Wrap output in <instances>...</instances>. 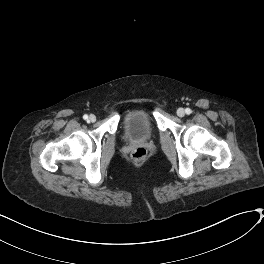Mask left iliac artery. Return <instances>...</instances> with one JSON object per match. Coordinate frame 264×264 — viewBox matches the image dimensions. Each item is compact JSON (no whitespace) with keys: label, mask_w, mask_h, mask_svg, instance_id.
Returning <instances> with one entry per match:
<instances>
[{"label":"left iliac artery","mask_w":264,"mask_h":264,"mask_svg":"<svg viewBox=\"0 0 264 264\" xmlns=\"http://www.w3.org/2000/svg\"><path fill=\"white\" fill-rule=\"evenodd\" d=\"M191 112H192V111H191V109H190V108H186V109H185V113H186V114H188V115H189V114H191Z\"/></svg>","instance_id":"left-iliac-artery-1"}]
</instances>
